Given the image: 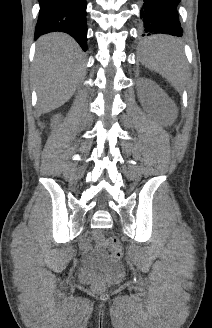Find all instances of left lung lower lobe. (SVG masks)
I'll list each match as a JSON object with an SVG mask.
<instances>
[{
    "label": "left lung lower lobe",
    "instance_id": "obj_1",
    "mask_svg": "<svg viewBox=\"0 0 212 328\" xmlns=\"http://www.w3.org/2000/svg\"><path fill=\"white\" fill-rule=\"evenodd\" d=\"M181 0H143L144 4L140 11L143 19L145 33L143 36L152 34H169L182 36L177 6ZM149 39L144 41L148 44Z\"/></svg>",
    "mask_w": 212,
    "mask_h": 328
}]
</instances>
